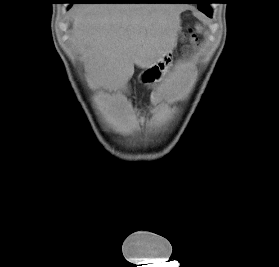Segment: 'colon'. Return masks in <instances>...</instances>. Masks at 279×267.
Returning a JSON list of instances; mask_svg holds the SVG:
<instances>
[{"label": "colon", "instance_id": "1", "mask_svg": "<svg viewBox=\"0 0 279 267\" xmlns=\"http://www.w3.org/2000/svg\"><path fill=\"white\" fill-rule=\"evenodd\" d=\"M182 41L184 42L185 48L194 47L196 44V37L192 32L183 33Z\"/></svg>", "mask_w": 279, "mask_h": 267}]
</instances>
